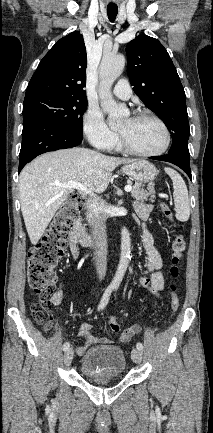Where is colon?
I'll use <instances>...</instances> for the list:
<instances>
[{
  "label": "colon",
  "instance_id": "1",
  "mask_svg": "<svg viewBox=\"0 0 213 433\" xmlns=\"http://www.w3.org/2000/svg\"><path fill=\"white\" fill-rule=\"evenodd\" d=\"M82 208V200L78 195H71L58 209L41 239L28 252L27 275L30 288L40 296L39 302L31 307V313L38 323H43L50 314L49 297L53 294L56 275L54 272L62 258L67 245L68 232ZM162 215L172 220L173 212L166 203H161ZM186 241L181 233L173 236L171 242L172 265L170 274L173 278L179 275V264L185 251ZM180 307V300L175 285L170 286V310L174 314ZM109 327L113 332L119 331L116 317L109 320ZM132 332L125 330L124 339H128Z\"/></svg>",
  "mask_w": 213,
  "mask_h": 433
}]
</instances>
